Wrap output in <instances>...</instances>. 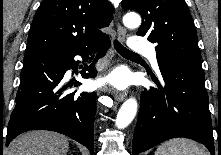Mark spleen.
<instances>
[{"label": "spleen", "mask_w": 221, "mask_h": 155, "mask_svg": "<svg viewBox=\"0 0 221 155\" xmlns=\"http://www.w3.org/2000/svg\"><path fill=\"white\" fill-rule=\"evenodd\" d=\"M155 155H206L204 149L193 140L174 138L157 147Z\"/></svg>", "instance_id": "obj_1"}]
</instances>
